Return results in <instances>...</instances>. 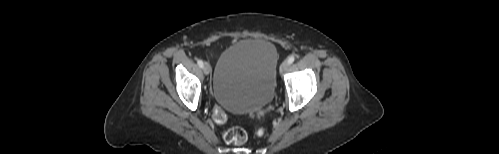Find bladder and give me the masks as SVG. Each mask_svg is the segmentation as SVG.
<instances>
[{"label": "bladder", "instance_id": "31cf9c89", "mask_svg": "<svg viewBox=\"0 0 499 154\" xmlns=\"http://www.w3.org/2000/svg\"><path fill=\"white\" fill-rule=\"evenodd\" d=\"M277 51L264 39H246L225 49L217 62L213 97L231 112H253L272 100Z\"/></svg>", "mask_w": 499, "mask_h": 154}]
</instances>
